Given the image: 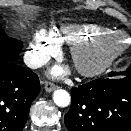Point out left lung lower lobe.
<instances>
[{
	"mask_svg": "<svg viewBox=\"0 0 131 131\" xmlns=\"http://www.w3.org/2000/svg\"><path fill=\"white\" fill-rule=\"evenodd\" d=\"M64 122L69 131H131V76L71 88Z\"/></svg>",
	"mask_w": 131,
	"mask_h": 131,
	"instance_id": "obj_1",
	"label": "left lung lower lobe"
}]
</instances>
